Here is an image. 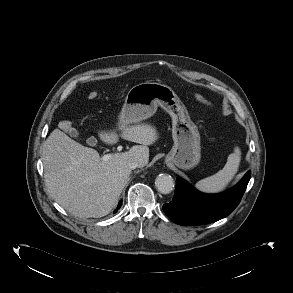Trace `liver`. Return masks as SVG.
I'll return each mask as SVG.
<instances>
[{"mask_svg":"<svg viewBox=\"0 0 293 293\" xmlns=\"http://www.w3.org/2000/svg\"><path fill=\"white\" fill-rule=\"evenodd\" d=\"M120 129L123 139L142 145L116 153L107 161L95 149L77 143L59 129L43 143L42 161L49 194L75 217L99 218L109 214L131 175L128 162L147 165V146L158 139L156 129L148 124ZM99 137L110 145L119 140L115 132H101Z\"/></svg>","mask_w":293,"mask_h":293,"instance_id":"liver-1","label":"liver"}]
</instances>
